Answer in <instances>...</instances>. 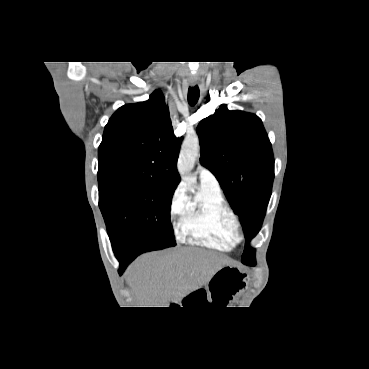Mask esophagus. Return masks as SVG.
<instances>
[{
    "label": "esophagus",
    "mask_w": 369,
    "mask_h": 369,
    "mask_svg": "<svg viewBox=\"0 0 369 369\" xmlns=\"http://www.w3.org/2000/svg\"><path fill=\"white\" fill-rule=\"evenodd\" d=\"M191 85L194 86V85H196V83L195 82H192Z\"/></svg>",
    "instance_id": "34e87169"
}]
</instances>
